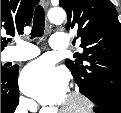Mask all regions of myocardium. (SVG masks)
Here are the masks:
<instances>
[{"label":"myocardium","instance_id":"1","mask_svg":"<svg viewBox=\"0 0 121 113\" xmlns=\"http://www.w3.org/2000/svg\"><path fill=\"white\" fill-rule=\"evenodd\" d=\"M94 104L92 100L87 97L80 90H72L67 96V103H65L62 110L74 112L77 110H91Z\"/></svg>","mask_w":121,"mask_h":113}]
</instances>
